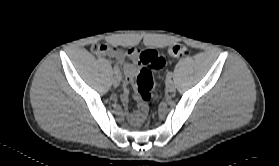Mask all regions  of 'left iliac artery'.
Instances as JSON below:
<instances>
[{
  "instance_id": "1",
  "label": "left iliac artery",
  "mask_w": 279,
  "mask_h": 166,
  "mask_svg": "<svg viewBox=\"0 0 279 166\" xmlns=\"http://www.w3.org/2000/svg\"><path fill=\"white\" fill-rule=\"evenodd\" d=\"M173 73L172 72H168L167 73V79H170L172 77Z\"/></svg>"
}]
</instances>
